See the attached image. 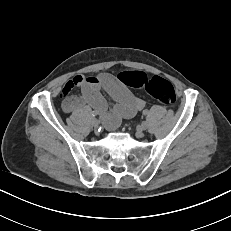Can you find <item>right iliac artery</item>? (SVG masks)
Instances as JSON below:
<instances>
[{
  "label": "right iliac artery",
  "instance_id": "1",
  "mask_svg": "<svg viewBox=\"0 0 231 231\" xmlns=\"http://www.w3.org/2000/svg\"><path fill=\"white\" fill-rule=\"evenodd\" d=\"M91 115H92L93 117H95V116L97 115V113L93 111V112L91 113Z\"/></svg>",
  "mask_w": 231,
  "mask_h": 231
}]
</instances>
